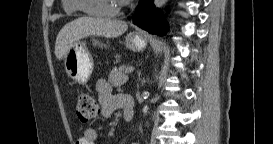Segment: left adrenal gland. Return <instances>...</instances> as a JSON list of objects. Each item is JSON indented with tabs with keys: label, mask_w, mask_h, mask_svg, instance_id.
I'll return each instance as SVG.
<instances>
[{
	"label": "left adrenal gland",
	"mask_w": 273,
	"mask_h": 144,
	"mask_svg": "<svg viewBox=\"0 0 273 144\" xmlns=\"http://www.w3.org/2000/svg\"><path fill=\"white\" fill-rule=\"evenodd\" d=\"M140 74H141V73L139 72V73H138V76H139V77H140Z\"/></svg>",
	"instance_id": "left-adrenal-gland-1"
}]
</instances>
